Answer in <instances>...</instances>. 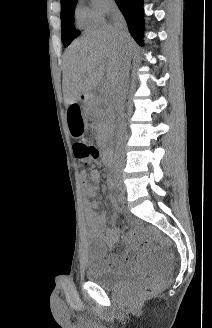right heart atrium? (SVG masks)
Returning <instances> with one entry per match:
<instances>
[{
	"label": "right heart atrium",
	"instance_id": "right-heart-atrium-1",
	"mask_svg": "<svg viewBox=\"0 0 212 328\" xmlns=\"http://www.w3.org/2000/svg\"><path fill=\"white\" fill-rule=\"evenodd\" d=\"M113 7V0H89V7L85 13L91 22H102Z\"/></svg>",
	"mask_w": 212,
	"mask_h": 328
}]
</instances>
